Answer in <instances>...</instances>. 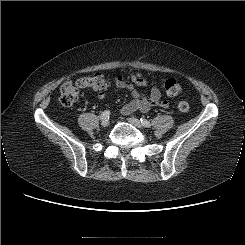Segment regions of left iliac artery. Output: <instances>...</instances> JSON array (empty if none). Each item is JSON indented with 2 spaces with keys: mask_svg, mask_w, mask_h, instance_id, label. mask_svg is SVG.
<instances>
[{
  "mask_svg": "<svg viewBox=\"0 0 245 245\" xmlns=\"http://www.w3.org/2000/svg\"><path fill=\"white\" fill-rule=\"evenodd\" d=\"M140 121H141V124H142L144 127H147V128L151 127V123H150L148 120H146V119H144V118H141Z\"/></svg>",
  "mask_w": 245,
  "mask_h": 245,
  "instance_id": "left-iliac-artery-1",
  "label": "left iliac artery"
}]
</instances>
